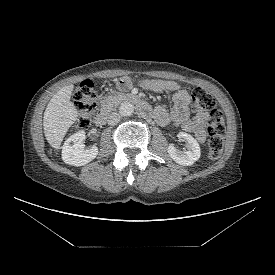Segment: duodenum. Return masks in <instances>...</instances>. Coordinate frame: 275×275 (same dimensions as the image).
I'll use <instances>...</instances> for the list:
<instances>
[{
  "instance_id": "410a0bca",
  "label": "duodenum",
  "mask_w": 275,
  "mask_h": 275,
  "mask_svg": "<svg viewBox=\"0 0 275 275\" xmlns=\"http://www.w3.org/2000/svg\"><path fill=\"white\" fill-rule=\"evenodd\" d=\"M126 100L133 102L137 106L140 114L143 117H150V116L154 115V112H153L151 106L147 102L142 100L140 97L130 95L126 98ZM109 113H110L109 108H104L103 110H101L95 119V124L97 126H103L107 121Z\"/></svg>"
}]
</instances>
